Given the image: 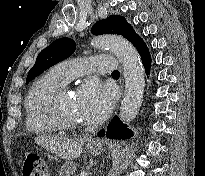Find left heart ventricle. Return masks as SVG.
<instances>
[{
	"label": "left heart ventricle",
	"mask_w": 205,
	"mask_h": 176,
	"mask_svg": "<svg viewBox=\"0 0 205 176\" xmlns=\"http://www.w3.org/2000/svg\"><path fill=\"white\" fill-rule=\"evenodd\" d=\"M61 110L64 116L68 119L77 121L79 123L85 122L78 110L76 98L71 93L64 95L61 99Z\"/></svg>",
	"instance_id": "obj_1"
}]
</instances>
